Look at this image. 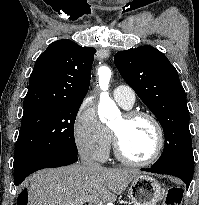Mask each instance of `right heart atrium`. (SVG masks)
Here are the masks:
<instances>
[{"instance_id":"obj_1","label":"right heart atrium","mask_w":199,"mask_h":205,"mask_svg":"<svg viewBox=\"0 0 199 205\" xmlns=\"http://www.w3.org/2000/svg\"><path fill=\"white\" fill-rule=\"evenodd\" d=\"M73 135L76 147L82 156L96 161H105L111 146V134L100 122L92 99H85L74 119Z\"/></svg>"}]
</instances>
